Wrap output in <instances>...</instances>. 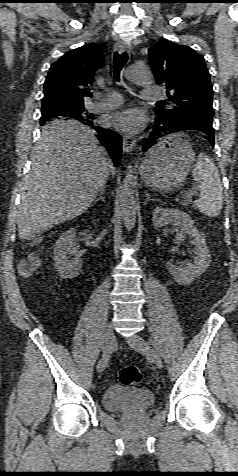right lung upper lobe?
Here are the masks:
<instances>
[{"instance_id": "obj_1", "label": "right lung upper lobe", "mask_w": 238, "mask_h": 476, "mask_svg": "<svg viewBox=\"0 0 238 476\" xmlns=\"http://www.w3.org/2000/svg\"><path fill=\"white\" fill-rule=\"evenodd\" d=\"M104 44H89L65 53L49 69L43 101L84 105L95 73L103 67ZM42 124V123H41Z\"/></svg>"}]
</instances>
